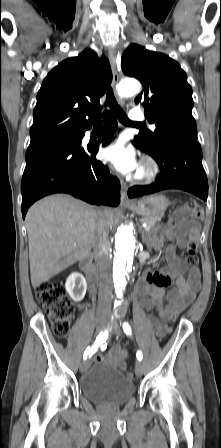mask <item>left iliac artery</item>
<instances>
[{
    "mask_svg": "<svg viewBox=\"0 0 221 448\" xmlns=\"http://www.w3.org/2000/svg\"><path fill=\"white\" fill-rule=\"evenodd\" d=\"M122 327H123V331H124V333H126L127 335H131V327L129 326V324L127 323V322H124L123 323V325H122ZM136 357H137V359L139 360V361H141L142 360V358H143V354H142V352L141 351H138L137 352V354H136Z\"/></svg>",
    "mask_w": 221,
    "mask_h": 448,
    "instance_id": "44dca946",
    "label": "left iliac artery"
}]
</instances>
